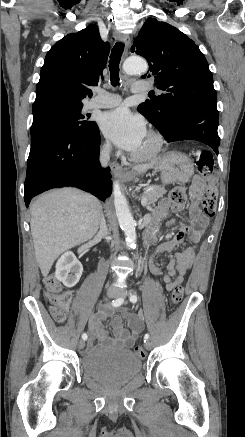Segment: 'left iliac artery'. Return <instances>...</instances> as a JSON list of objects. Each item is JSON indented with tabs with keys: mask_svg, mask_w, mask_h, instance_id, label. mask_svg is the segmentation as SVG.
Listing matches in <instances>:
<instances>
[{
	"mask_svg": "<svg viewBox=\"0 0 245 437\" xmlns=\"http://www.w3.org/2000/svg\"><path fill=\"white\" fill-rule=\"evenodd\" d=\"M129 299H130V302H132V303H136V302H137V294H136L135 291H131V292H130V297H129ZM148 339H149V334H145V336H144V342L148 341Z\"/></svg>",
	"mask_w": 245,
	"mask_h": 437,
	"instance_id": "obj_1",
	"label": "left iliac artery"
}]
</instances>
